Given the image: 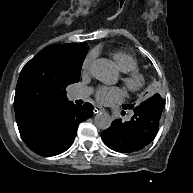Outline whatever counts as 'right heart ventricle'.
<instances>
[{
    "label": "right heart ventricle",
    "instance_id": "e07e8e85",
    "mask_svg": "<svg viewBox=\"0 0 193 193\" xmlns=\"http://www.w3.org/2000/svg\"><path fill=\"white\" fill-rule=\"evenodd\" d=\"M109 55L114 59L118 70L122 73H128L137 66L135 58L125 52H110Z\"/></svg>",
    "mask_w": 193,
    "mask_h": 193
}]
</instances>
